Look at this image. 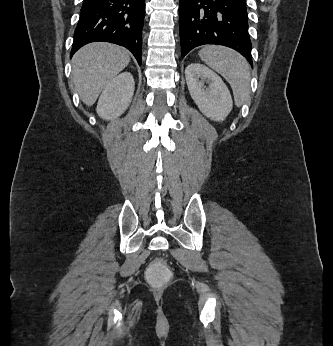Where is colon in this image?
I'll use <instances>...</instances> for the list:
<instances>
[{
	"mask_svg": "<svg viewBox=\"0 0 333 346\" xmlns=\"http://www.w3.org/2000/svg\"><path fill=\"white\" fill-rule=\"evenodd\" d=\"M149 269H145L144 274L151 288H170V281L173 278L168 264H164V257H150Z\"/></svg>",
	"mask_w": 333,
	"mask_h": 346,
	"instance_id": "colon-1",
	"label": "colon"
}]
</instances>
